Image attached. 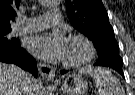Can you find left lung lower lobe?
Here are the masks:
<instances>
[{
    "instance_id": "0a47b994",
    "label": "left lung lower lobe",
    "mask_w": 135,
    "mask_h": 95,
    "mask_svg": "<svg viewBox=\"0 0 135 95\" xmlns=\"http://www.w3.org/2000/svg\"><path fill=\"white\" fill-rule=\"evenodd\" d=\"M94 65L111 67L124 77L122 70L123 62L120 56L111 55V57L99 58ZM66 72L68 71L67 70L60 71L61 74H65Z\"/></svg>"
}]
</instances>
